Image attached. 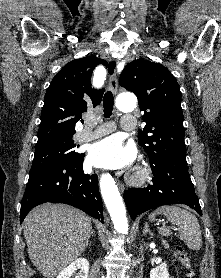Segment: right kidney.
<instances>
[{
    "label": "right kidney",
    "mask_w": 221,
    "mask_h": 278,
    "mask_svg": "<svg viewBox=\"0 0 221 278\" xmlns=\"http://www.w3.org/2000/svg\"><path fill=\"white\" fill-rule=\"evenodd\" d=\"M77 269H79V273L76 278H88L89 262L85 258H79L73 261L59 273L57 278H71Z\"/></svg>",
    "instance_id": "right-kidney-1"
}]
</instances>
